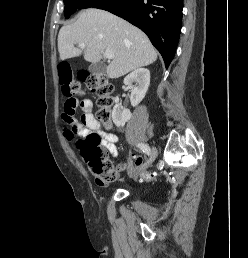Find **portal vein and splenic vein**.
I'll use <instances>...</instances> for the list:
<instances>
[{
	"label": "portal vein and splenic vein",
	"instance_id": "obj_1",
	"mask_svg": "<svg viewBox=\"0 0 248 258\" xmlns=\"http://www.w3.org/2000/svg\"><path fill=\"white\" fill-rule=\"evenodd\" d=\"M78 45L80 48H84L86 46L84 43H79ZM104 57L110 60L114 58V54L112 52L106 51L104 53Z\"/></svg>",
	"mask_w": 248,
	"mask_h": 258
}]
</instances>
